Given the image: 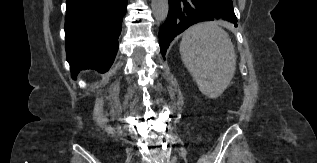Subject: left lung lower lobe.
I'll list each match as a JSON object with an SVG mask.
<instances>
[{"label": "left lung lower lobe", "instance_id": "obj_1", "mask_svg": "<svg viewBox=\"0 0 317 163\" xmlns=\"http://www.w3.org/2000/svg\"><path fill=\"white\" fill-rule=\"evenodd\" d=\"M214 19L237 23L232 0H169L168 17L159 31V45L164 59L174 37L195 23Z\"/></svg>", "mask_w": 317, "mask_h": 163}]
</instances>
